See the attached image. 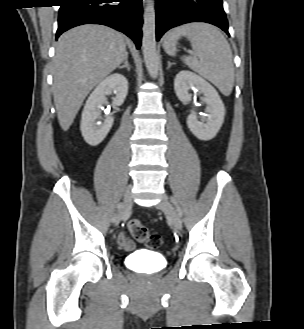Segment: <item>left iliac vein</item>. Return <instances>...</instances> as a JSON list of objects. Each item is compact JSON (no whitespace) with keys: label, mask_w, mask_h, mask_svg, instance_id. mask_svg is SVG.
I'll use <instances>...</instances> for the list:
<instances>
[{"label":"left iliac vein","mask_w":304,"mask_h":329,"mask_svg":"<svg viewBox=\"0 0 304 329\" xmlns=\"http://www.w3.org/2000/svg\"><path fill=\"white\" fill-rule=\"evenodd\" d=\"M156 207L169 216L173 226L177 230L182 229L181 217L179 216L178 212L174 209V207L172 206L166 195L162 197L161 201L157 204Z\"/></svg>","instance_id":"1"}]
</instances>
